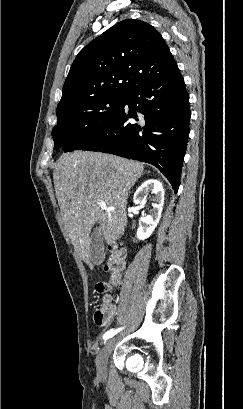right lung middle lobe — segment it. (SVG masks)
Segmentation results:
<instances>
[{
	"label": "right lung middle lobe",
	"instance_id": "obj_1",
	"mask_svg": "<svg viewBox=\"0 0 243 409\" xmlns=\"http://www.w3.org/2000/svg\"><path fill=\"white\" fill-rule=\"evenodd\" d=\"M125 96H100L57 110L52 130L54 149L73 151L87 137L106 128L123 106Z\"/></svg>",
	"mask_w": 243,
	"mask_h": 409
}]
</instances>
